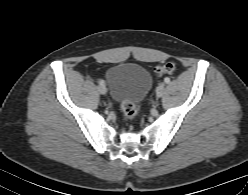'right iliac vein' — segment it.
Here are the masks:
<instances>
[{
    "instance_id": "63e3f726",
    "label": "right iliac vein",
    "mask_w": 248,
    "mask_h": 195,
    "mask_svg": "<svg viewBox=\"0 0 248 195\" xmlns=\"http://www.w3.org/2000/svg\"><path fill=\"white\" fill-rule=\"evenodd\" d=\"M97 91L100 93V94H105L107 92V89L104 85H99L97 87Z\"/></svg>"
}]
</instances>
